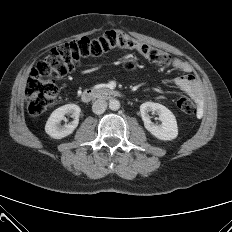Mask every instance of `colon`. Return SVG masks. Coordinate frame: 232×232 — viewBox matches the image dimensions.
I'll return each instance as SVG.
<instances>
[{
    "label": "colon",
    "mask_w": 232,
    "mask_h": 232,
    "mask_svg": "<svg viewBox=\"0 0 232 232\" xmlns=\"http://www.w3.org/2000/svg\"><path fill=\"white\" fill-rule=\"evenodd\" d=\"M115 49L137 51L157 65H166L171 60L168 52L116 30L107 31L92 39L81 38L63 43L53 48L33 68L25 86L28 112L32 116H39L56 102L58 96L56 79L75 71L85 60L102 56ZM177 106L184 114L195 113V105L187 96L180 97Z\"/></svg>",
    "instance_id": "1"
}]
</instances>
